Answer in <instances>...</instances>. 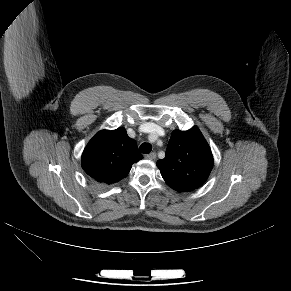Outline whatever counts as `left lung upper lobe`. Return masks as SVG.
I'll return each instance as SVG.
<instances>
[{
  "instance_id": "left-lung-upper-lobe-1",
  "label": "left lung upper lobe",
  "mask_w": 291,
  "mask_h": 291,
  "mask_svg": "<svg viewBox=\"0 0 291 291\" xmlns=\"http://www.w3.org/2000/svg\"><path fill=\"white\" fill-rule=\"evenodd\" d=\"M213 163L211 149L195 126L188 131H173L166 156L157 161V167L171 188L193 191L206 181Z\"/></svg>"
}]
</instances>
